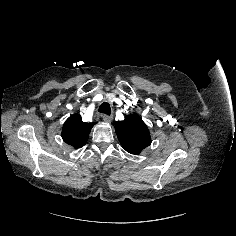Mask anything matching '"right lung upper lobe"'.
<instances>
[{
	"instance_id": "1",
	"label": "right lung upper lobe",
	"mask_w": 236,
	"mask_h": 236,
	"mask_svg": "<svg viewBox=\"0 0 236 236\" xmlns=\"http://www.w3.org/2000/svg\"><path fill=\"white\" fill-rule=\"evenodd\" d=\"M93 125L83 122L79 114L71 115L63 125L62 138L75 149L81 148L86 144Z\"/></svg>"
}]
</instances>
